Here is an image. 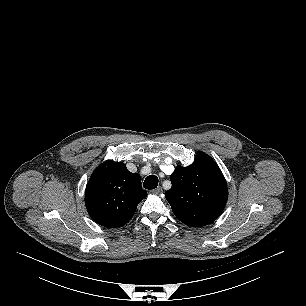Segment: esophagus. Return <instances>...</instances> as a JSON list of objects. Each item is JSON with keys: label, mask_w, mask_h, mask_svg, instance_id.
Listing matches in <instances>:
<instances>
[{"label": "esophagus", "mask_w": 306, "mask_h": 306, "mask_svg": "<svg viewBox=\"0 0 306 306\" xmlns=\"http://www.w3.org/2000/svg\"><path fill=\"white\" fill-rule=\"evenodd\" d=\"M153 193L155 194H159L160 192H162V187L158 186L157 188H155L154 190H152Z\"/></svg>", "instance_id": "obj_1"}]
</instances>
